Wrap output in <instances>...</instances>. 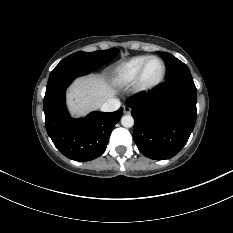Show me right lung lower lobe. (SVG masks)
<instances>
[{
  "label": "right lung lower lobe",
  "mask_w": 233,
  "mask_h": 233,
  "mask_svg": "<svg viewBox=\"0 0 233 233\" xmlns=\"http://www.w3.org/2000/svg\"><path fill=\"white\" fill-rule=\"evenodd\" d=\"M86 71L50 74L43 109L46 130L57 149L75 161H90L104 153L113 127L123 108L112 113L92 112L82 119L70 117L65 105V91Z\"/></svg>",
  "instance_id": "1"
}]
</instances>
